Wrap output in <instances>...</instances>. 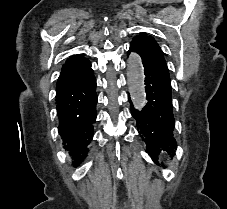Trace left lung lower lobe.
I'll use <instances>...</instances> for the list:
<instances>
[{"label":"left lung lower lobe","instance_id":"left-lung-lower-lobe-1","mask_svg":"<svg viewBox=\"0 0 227 209\" xmlns=\"http://www.w3.org/2000/svg\"><path fill=\"white\" fill-rule=\"evenodd\" d=\"M135 52L130 46L128 54ZM145 73V90L147 103L138 111L131 104L132 116L137 121L139 133L146 142V148L151 158L157 162L161 151L169 153L177 149L174 138V115L172 106V93L170 75L166 74L159 67L142 60Z\"/></svg>","mask_w":227,"mask_h":209}]
</instances>
